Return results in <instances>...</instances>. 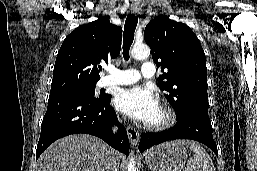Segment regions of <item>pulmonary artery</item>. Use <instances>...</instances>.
<instances>
[{
	"label": "pulmonary artery",
	"instance_id": "pulmonary-artery-1",
	"mask_svg": "<svg viewBox=\"0 0 257 171\" xmlns=\"http://www.w3.org/2000/svg\"><path fill=\"white\" fill-rule=\"evenodd\" d=\"M155 71L156 68L152 62H144L141 66L140 71L136 69L119 70L115 68H109V75L102 78L101 84L103 86L133 84L139 81L142 77H153Z\"/></svg>",
	"mask_w": 257,
	"mask_h": 171
}]
</instances>
